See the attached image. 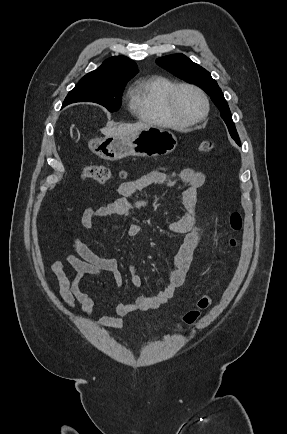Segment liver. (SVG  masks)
<instances>
[{
    "mask_svg": "<svg viewBox=\"0 0 287 434\" xmlns=\"http://www.w3.org/2000/svg\"><path fill=\"white\" fill-rule=\"evenodd\" d=\"M150 125L145 123H136V124H121L117 127H105L101 129V132L105 136H131L136 132L148 128Z\"/></svg>",
    "mask_w": 287,
    "mask_h": 434,
    "instance_id": "1",
    "label": "liver"
}]
</instances>
